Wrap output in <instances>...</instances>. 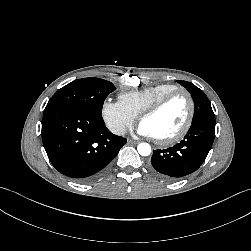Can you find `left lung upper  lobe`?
Wrapping results in <instances>:
<instances>
[{
    "label": "left lung upper lobe",
    "instance_id": "1",
    "mask_svg": "<svg viewBox=\"0 0 251 251\" xmlns=\"http://www.w3.org/2000/svg\"><path fill=\"white\" fill-rule=\"evenodd\" d=\"M178 83H180L190 92L194 100L195 110L192 123L202 119L215 120V115L211 108V104L204 92L190 82L178 80Z\"/></svg>",
    "mask_w": 251,
    "mask_h": 251
}]
</instances>
